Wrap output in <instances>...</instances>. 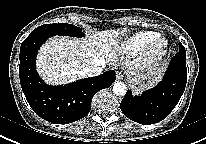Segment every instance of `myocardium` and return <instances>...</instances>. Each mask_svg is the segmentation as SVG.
<instances>
[{
    "label": "myocardium",
    "mask_w": 206,
    "mask_h": 144,
    "mask_svg": "<svg viewBox=\"0 0 206 144\" xmlns=\"http://www.w3.org/2000/svg\"><path fill=\"white\" fill-rule=\"evenodd\" d=\"M160 43L161 46L158 47ZM169 46L168 39L165 36L158 34L142 50L140 56L141 64L146 67L158 64L167 55Z\"/></svg>",
    "instance_id": "obj_1"
}]
</instances>
